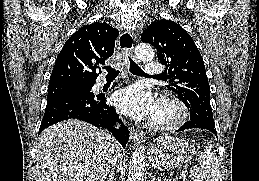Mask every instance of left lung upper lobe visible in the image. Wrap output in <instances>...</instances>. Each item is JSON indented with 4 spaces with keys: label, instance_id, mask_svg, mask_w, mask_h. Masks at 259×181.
<instances>
[{
    "label": "left lung upper lobe",
    "instance_id": "5c2ea615",
    "mask_svg": "<svg viewBox=\"0 0 259 181\" xmlns=\"http://www.w3.org/2000/svg\"><path fill=\"white\" fill-rule=\"evenodd\" d=\"M141 41L157 49L158 60L170 74L166 88L178 94L191 119L214 123L205 66L191 36L177 23L161 19L144 30Z\"/></svg>",
    "mask_w": 259,
    "mask_h": 181
}]
</instances>
